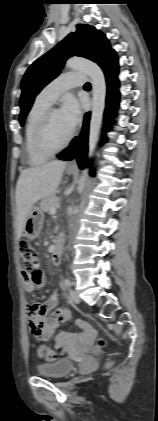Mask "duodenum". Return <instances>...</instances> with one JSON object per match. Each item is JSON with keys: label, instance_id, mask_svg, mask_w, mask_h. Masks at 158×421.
I'll use <instances>...</instances> for the list:
<instances>
[{"label": "duodenum", "instance_id": "duodenum-1", "mask_svg": "<svg viewBox=\"0 0 158 421\" xmlns=\"http://www.w3.org/2000/svg\"><path fill=\"white\" fill-rule=\"evenodd\" d=\"M62 255H63V244L60 241L56 244L53 254H52V261L55 265L60 264Z\"/></svg>", "mask_w": 158, "mask_h": 421}]
</instances>
